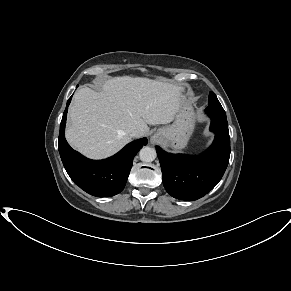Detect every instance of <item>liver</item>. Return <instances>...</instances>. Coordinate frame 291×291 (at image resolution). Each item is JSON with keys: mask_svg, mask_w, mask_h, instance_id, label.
<instances>
[{"mask_svg": "<svg viewBox=\"0 0 291 291\" xmlns=\"http://www.w3.org/2000/svg\"><path fill=\"white\" fill-rule=\"evenodd\" d=\"M183 88L146 78L114 77L101 92L79 89L69 109L68 143L85 156L101 159L122 149L137 129L142 136L150 125L172 122Z\"/></svg>", "mask_w": 291, "mask_h": 291, "instance_id": "1", "label": "liver"}]
</instances>
